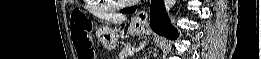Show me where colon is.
<instances>
[{
	"instance_id": "colon-1",
	"label": "colon",
	"mask_w": 261,
	"mask_h": 59,
	"mask_svg": "<svg viewBox=\"0 0 261 59\" xmlns=\"http://www.w3.org/2000/svg\"><path fill=\"white\" fill-rule=\"evenodd\" d=\"M71 37L78 59H93L94 52L87 23L78 15L70 21Z\"/></svg>"
}]
</instances>
